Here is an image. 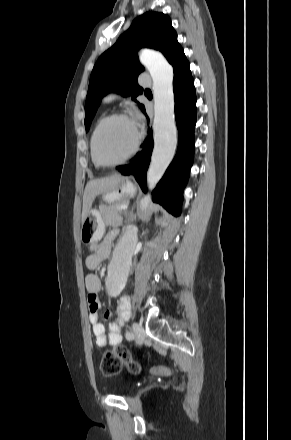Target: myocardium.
Returning <instances> with one entry per match:
<instances>
[{"instance_id":"myocardium-1","label":"myocardium","mask_w":291,"mask_h":440,"mask_svg":"<svg viewBox=\"0 0 291 440\" xmlns=\"http://www.w3.org/2000/svg\"><path fill=\"white\" fill-rule=\"evenodd\" d=\"M114 119H126V120H130V117L125 114V113H121V112H114L111 113L109 115H107L106 117H104L96 126L93 136H92V156L94 161L96 162L97 165L99 166H104V167H116V166H120L122 164H125L126 162H128L138 151L140 143H141V134L137 131L136 129V139H135V143L132 147V149L129 151V153L121 160L119 161H105L103 159H101L98 155V151H97V140H98V136L99 133L101 131V129L103 128V126Z\"/></svg>"}]
</instances>
